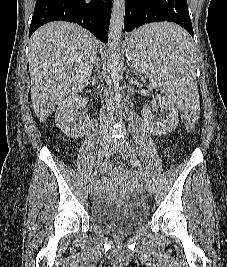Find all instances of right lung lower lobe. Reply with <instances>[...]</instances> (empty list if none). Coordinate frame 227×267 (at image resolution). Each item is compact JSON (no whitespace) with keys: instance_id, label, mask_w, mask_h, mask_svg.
<instances>
[{"instance_id":"98d812e1","label":"right lung lower lobe","mask_w":227,"mask_h":267,"mask_svg":"<svg viewBox=\"0 0 227 267\" xmlns=\"http://www.w3.org/2000/svg\"><path fill=\"white\" fill-rule=\"evenodd\" d=\"M111 0H36L29 37L43 24L61 20L77 23L107 42Z\"/></svg>"}]
</instances>
